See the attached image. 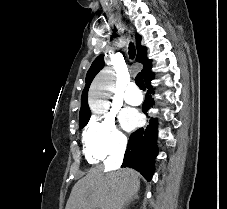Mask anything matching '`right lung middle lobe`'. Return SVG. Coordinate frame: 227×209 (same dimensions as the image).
Segmentation results:
<instances>
[{
    "instance_id": "dd1d6c3e",
    "label": "right lung middle lobe",
    "mask_w": 227,
    "mask_h": 209,
    "mask_svg": "<svg viewBox=\"0 0 227 209\" xmlns=\"http://www.w3.org/2000/svg\"><path fill=\"white\" fill-rule=\"evenodd\" d=\"M89 118L90 117H86V118H80L79 119V127H80V129H82L87 123H88V121H89Z\"/></svg>"
}]
</instances>
